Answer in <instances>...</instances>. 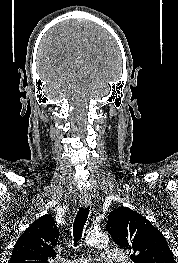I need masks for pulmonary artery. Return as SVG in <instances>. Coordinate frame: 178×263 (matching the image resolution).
<instances>
[{"label": "pulmonary artery", "mask_w": 178, "mask_h": 263, "mask_svg": "<svg viewBox=\"0 0 178 263\" xmlns=\"http://www.w3.org/2000/svg\"><path fill=\"white\" fill-rule=\"evenodd\" d=\"M102 257L112 262L123 263L126 261L125 253L116 248L107 250L106 252L103 253ZM66 263H87V260L85 258H78V259L66 261Z\"/></svg>", "instance_id": "pulmonary-artery-1"}]
</instances>
